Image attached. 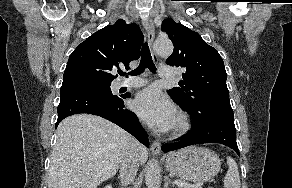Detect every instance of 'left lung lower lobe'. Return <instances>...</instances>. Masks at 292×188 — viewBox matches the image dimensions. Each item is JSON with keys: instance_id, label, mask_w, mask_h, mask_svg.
<instances>
[{"instance_id": "1", "label": "left lung lower lobe", "mask_w": 292, "mask_h": 188, "mask_svg": "<svg viewBox=\"0 0 292 188\" xmlns=\"http://www.w3.org/2000/svg\"><path fill=\"white\" fill-rule=\"evenodd\" d=\"M203 143H220L234 149L239 154L233 110H219L211 113L200 124H193L192 130L180 141L163 144L162 151L167 153Z\"/></svg>"}]
</instances>
